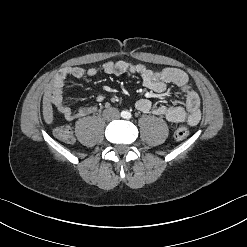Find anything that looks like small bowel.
Masks as SVG:
<instances>
[{
    "mask_svg": "<svg viewBox=\"0 0 247 247\" xmlns=\"http://www.w3.org/2000/svg\"><path fill=\"white\" fill-rule=\"evenodd\" d=\"M100 72L108 75L122 76L125 74H139L143 84L156 93H164L168 84L177 86L185 94V105H156L147 98L139 99L135 106L137 110L151 112L164 117L171 123H184L189 126L196 125L201 119L200 99L198 94L191 88L187 74L177 68L150 69L143 64H134L127 61L106 62L99 68L84 69L82 67H68L61 70L53 79L51 85L50 101L55 110L66 120L72 121L81 117L94 114L96 106L81 107L73 111L65 105L63 89L68 76L74 78L94 77ZM98 102L103 100V94L96 96Z\"/></svg>",
    "mask_w": 247,
    "mask_h": 247,
    "instance_id": "small-bowel-1",
    "label": "small bowel"
}]
</instances>
